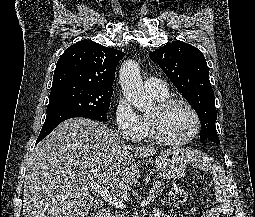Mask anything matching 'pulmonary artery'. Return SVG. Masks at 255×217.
Masks as SVG:
<instances>
[{"label":"pulmonary artery","instance_id":"e3ab8cb5","mask_svg":"<svg viewBox=\"0 0 255 217\" xmlns=\"http://www.w3.org/2000/svg\"><path fill=\"white\" fill-rule=\"evenodd\" d=\"M144 86L146 91L152 94L163 95L167 93V86L165 81L156 77L147 78L145 80Z\"/></svg>","mask_w":255,"mask_h":217}]
</instances>
